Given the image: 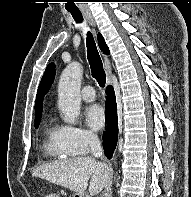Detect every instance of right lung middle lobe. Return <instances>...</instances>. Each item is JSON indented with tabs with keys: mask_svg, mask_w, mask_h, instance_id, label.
Returning <instances> with one entry per match:
<instances>
[{
	"mask_svg": "<svg viewBox=\"0 0 191 197\" xmlns=\"http://www.w3.org/2000/svg\"><path fill=\"white\" fill-rule=\"evenodd\" d=\"M39 125V121L38 122H35V128H37Z\"/></svg>",
	"mask_w": 191,
	"mask_h": 197,
	"instance_id": "obj_1",
	"label": "right lung middle lobe"
}]
</instances>
